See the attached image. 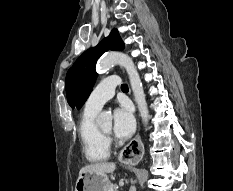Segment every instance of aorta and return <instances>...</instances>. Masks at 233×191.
Masks as SVG:
<instances>
[{
    "label": "aorta",
    "mask_w": 233,
    "mask_h": 191,
    "mask_svg": "<svg viewBox=\"0 0 233 191\" xmlns=\"http://www.w3.org/2000/svg\"><path fill=\"white\" fill-rule=\"evenodd\" d=\"M114 65H121L125 68L129 76L130 85L140 116L143 123L147 125L149 120V111L147 108L143 85L133 60L127 54L121 52H108L98 62L97 70L102 72ZM110 118L111 117L108 113H101L98 117V121L102 122L104 120H110Z\"/></svg>",
    "instance_id": "obj_1"
}]
</instances>
